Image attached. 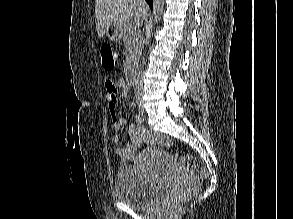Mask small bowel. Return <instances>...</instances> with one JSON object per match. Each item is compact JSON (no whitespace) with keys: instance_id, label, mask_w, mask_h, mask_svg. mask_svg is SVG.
<instances>
[{"instance_id":"obj_1","label":"small bowel","mask_w":293,"mask_h":219,"mask_svg":"<svg viewBox=\"0 0 293 219\" xmlns=\"http://www.w3.org/2000/svg\"><path fill=\"white\" fill-rule=\"evenodd\" d=\"M105 88L108 108L112 117L113 129L115 131H120L123 128H127L128 135L130 137V143L123 146L119 145L118 136L113 137L115 153L124 161L134 160L139 147L148 140V134L142 124L128 123L124 118L119 117L116 114L118 95L120 94L122 98H127L129 96V90L124 80L121 79L118 81H111L107 79L105 81Z\"/></svg>"}]
</instances>
